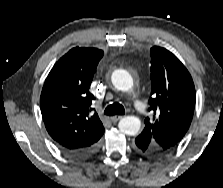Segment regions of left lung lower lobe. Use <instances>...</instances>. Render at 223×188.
<instances>
[{"label": "left lung lower lobe", "mask_w": 223, "mask_h": 188, "mask_svg": "<svg viewBox=\"0 0 223 188\" xmlns=\"http://www.w3.org/2000/svg\"><path fill=\"white\" fill-rule=\"evenodd\" d=\"M135 144H136L137 150H139L140 152L148 156L160 157L164 155L162 150L151 147L150 144L145 139L141 138L140 136H138L135 139Z\"/></svg>", "instance_id": "left-lung-lower-lobe-1"}]
</instances>
